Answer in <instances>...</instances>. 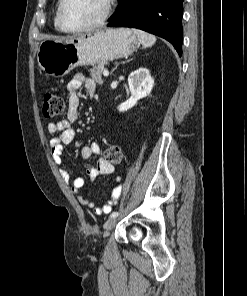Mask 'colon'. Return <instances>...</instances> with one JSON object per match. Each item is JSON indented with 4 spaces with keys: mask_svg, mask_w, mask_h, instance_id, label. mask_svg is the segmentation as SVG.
<instances>
[{
    "mask_svg": "<svg viewBox=\"0 0 247 296\" xmlns=\"http://www.w3.org/2000/svg\"><path fill=\"white\" fill-rule=\"evenodd\" d=\"M64 107V98L60 92L51 90L45 93L43 101V115L45 118H57L63 113ZM104 159L111 165H121L123 160L121 148L117 145L109 146L104 152Z\"/></svg>",
    "mask_w": 247,
    "mask_h": 296,
    "instance_id": "1",
    "label": "colon"
}]
</instances>
